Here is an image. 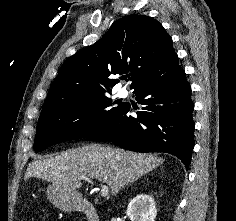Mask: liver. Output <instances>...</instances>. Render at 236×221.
I'll use <instances>...</instances> for the list:
<instances>
[{
  "label": "liver",
  "instance_id": "liver-1",
  "mask_svg": "<svg viewBox=\"0 0 236 221\" xmlns=\"http://www.w3.org/2000/svg\"><path fill=\"white\" fill-rule=\"evenodd\" d=\"M163 162L156 155L93 144L35 160L29 164L24 178L37 177L76 191L82 186L81 178L87 177L109 185L115 195Z\"/></svg>",
  "mask_w": 236,
  "mask_h": 221
}]
</instances>
